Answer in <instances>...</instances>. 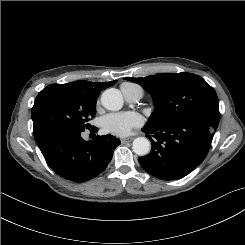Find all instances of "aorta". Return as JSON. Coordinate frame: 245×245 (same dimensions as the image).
<instances>
[{
  "label": "aorta",
  "mask_w": 245,
  "mask_h": 245,
  "mask_svg": "<svg viewBox=\"0 0 245 245\" xmlns=\"http://www.w3.org/2000/svg\"><path fill=\"white\" fill-rule=\"evenodd\" d=\"M101 104L108 110L117 111L123 106V97L118 89L110 88L102 93ZM150 148V141L145 137H138L133 141V151L139 156L148 154Z\"/></svg>",
  "instance_id": "aorta-1"
}]
</instances>
